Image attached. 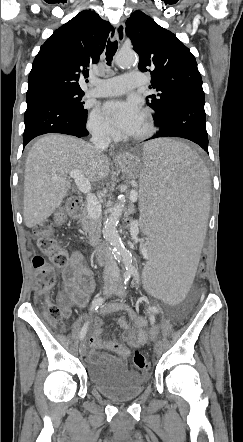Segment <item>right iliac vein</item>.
<instances>
[{
    "label": "right iliac vein",
    "instance_id": "1",
    "mask_svg": "<svg viewBox=\"0 0 243 442\" xmlns=\"http://www.w3.org/2000/svg\"><path fill=\"white\" fill-rule=\"evenodd\" d=\"M115 289V286L111 283H107L104 285L103 289H102V296L104 299H106L110 293H112ZM79 353L81 356H85L86 354V345H85V341L83 340L80 344L79 347Z\"/></svg>",
    "mask_w": 243,
    "mask_h": 442
}]
</instances>
